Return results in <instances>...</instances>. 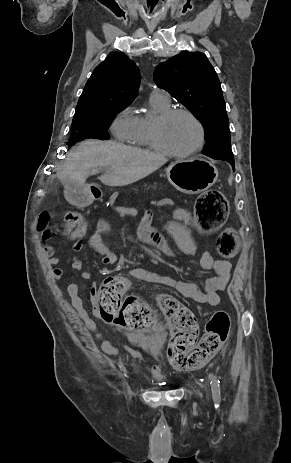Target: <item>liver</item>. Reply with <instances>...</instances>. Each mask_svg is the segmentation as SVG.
<instances>
[{
  "label": "liver",
  "mask_w": 291,
  "mask_h": 463,
  "mask_svg": "<svg viewBox=\"0 0 291 463\" xmlns=\"http://www.w3.org/2000/svg\"><path fill=\"white\" fill-rule=\"evenodd\" d=\"M166 162L160 154L115 141L86 140L68 153L58 168L57 178L64 184L85 186L90 174L105 168L108 172L98 177L103 184L125 186L143 179Z\"/></svg>",
  "instance_id": "6515ba94"
}]
</instances>
